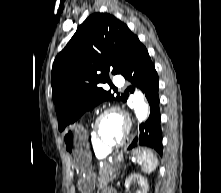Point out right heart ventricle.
Returning <instances> with one entry per match:
<instances>
[{
  "label": "right heart ventricle",
  "mask_w": 221,
  "mask_h": 193,
  "mask_svg": "<svg viewBox=\"0 0 221 193\" xmlns=\"http://www.w3.org/2000/svg\"><path fill=\"white\" fill-rule=\"evenodd\" d=\"M90 141H91V145H92V149H93V152L94 154L99 157V158H102V157H105L107 154H108V151L103 149L102 147H100L96 141L94 140L93 136H92V133H91V138H90Z\"/></svg>",
  "instance_id": "right-heart-ventricle-1"
}]
</instances>
